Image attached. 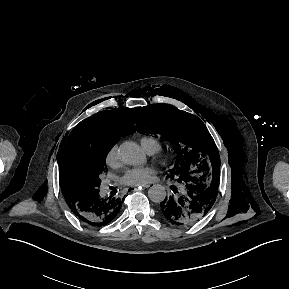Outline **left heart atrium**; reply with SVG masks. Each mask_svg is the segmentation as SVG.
<instances>
[{
    "mask_svg": "<svg viewBox=\"0 0 289 289\" xmlns=\"http://www.w3.org/2000/svg\"><path fill=\"white\" fill-rule=\"evenodd\" d=\"M153 176L154 170L150 167L133 168L124 173L121 182L131 186L146 185L153 179Z\"/></svg>",
    "mask_w": 289,
    "mask_h": 289,
    "instance_id": "39dd6f15",
    "label": "left heart atrium"
}]
</instances>
